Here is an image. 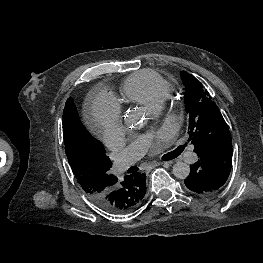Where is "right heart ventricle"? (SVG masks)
I'll list each match as a JSON object with an SVG mask.
<instances>
[{"mask_svg":"<svg viewBox=\"0 0 263 263\" xmlns=\"http://www.w3.org/2000/svg\"><path fill=\"white\" fill-rule=\"evenodd\" d=\"M170 84L153 70H142L129 75L121 86L123 96L130 102L153 109L171 93Z\"/></svg>","mask_w":263,"mask_h":263,"instance_id":"e07e8e85","label":"right heart ventricle"}]
</instances>
